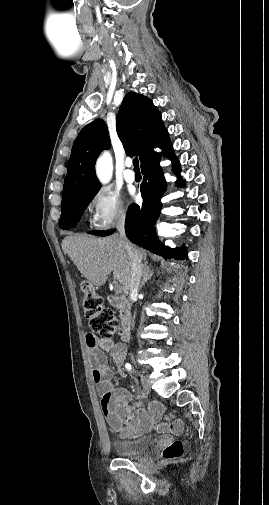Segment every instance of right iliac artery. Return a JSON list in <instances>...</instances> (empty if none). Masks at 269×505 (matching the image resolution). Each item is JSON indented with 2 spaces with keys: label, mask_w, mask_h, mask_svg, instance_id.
Masks as SVG:
<instances>
[{
  "label": "right iliac artery",
  "mask_w": 269,
  "mask_h": 505,
  "mask_svg": "<svg viewBox=\"0 0 269 505\" xmlns=\"http://www.w3.org/2000/svg\"><path fill=\"white\" fill-rule=\"evenodd\" d=\"M125 368H126L127 370H129V371H132V366H131V364H130V363H126V364H125Z\"/></svg>",
  "instance_id": "obj_1"
}]
</instances>
